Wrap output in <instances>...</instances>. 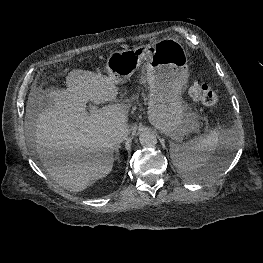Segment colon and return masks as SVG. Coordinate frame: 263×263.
<instances>
[{
  "label": "colon",
  "mask_w": 263,
  "mask_h": 263,
  "mask_svg": "<svg viewBox=\"0 0 263 263\" xmlns=\"http://www.w3.org/2000/svg\"><path fill=\"white\" fill-rule=\"evenodd\" d=\"M190 97L206 106H215L218 103L217 94L207 84L193 83L189 88Z\"/></svg>",
  "instance_id": "obj_1"
}]
</instances>
